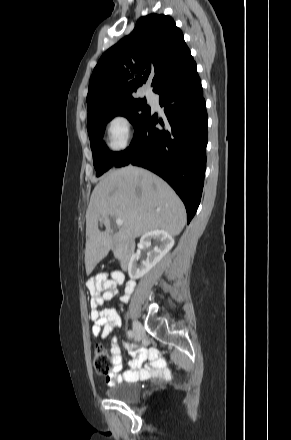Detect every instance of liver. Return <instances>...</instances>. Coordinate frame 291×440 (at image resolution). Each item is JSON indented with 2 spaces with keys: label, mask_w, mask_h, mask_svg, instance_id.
<instances>
[{
  "label": "liver",
  "mask_w": 291,
  "mask_h": 440,
  "mask_svg": "<svg viewBox=\"0 0 291 440\" xmlns=\"http://www.w3.org/2000/svg\"><path fill=\"white\" fill-rule=\"evenodd\" d=\"M110 217L123 221L113 237ZM99 221L105 232L99 231ZM185 223V207L163 179L131 165L109 172L95 186L86 213L87 275L108 254L113 241L126 242L153 230L177 236Z\"/></svg>",
  "instance_id": "1"
}]
</instances>
